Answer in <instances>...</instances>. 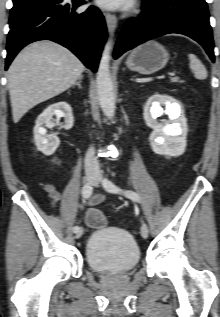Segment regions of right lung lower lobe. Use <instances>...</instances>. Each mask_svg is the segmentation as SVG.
<instances>
[{
  "instance_id": "98d812e1",
  "label": "right lung lower lobe",
  "mask_w": 220,
  "mask_h": 317,
  "mask_svg": "<svg viewBox=\"0 0 220 317\" xmlns=\"http://www.w3.org/2000/svg\"><path fill=\"white\" fill-rule=\"evenodd\" d=\"M83 0H25L10 14L6 69L27 44L52 40L70 49L93 72L97 70L106 41L104 17L96 7L83 13L75 9Z\"/></svg>"
}]
</instances>
